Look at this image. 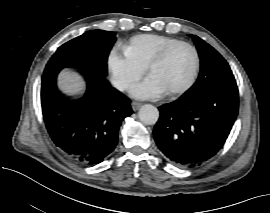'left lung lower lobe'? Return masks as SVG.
Returning <instances> with one entry per match:
<instances>
[{
  "label": "left lung lower lobe",
  "instance_id": "1",
  "mask_svg": "<svg viewBox=\"0 0 270 213\" xmlns=\"http://www.w3.org/2000/svg\"><path fill=\"white\" fill-rule=\"evenodd\" d=\"M239 108L235 80L194 97L182 96L159 107L154 139L167 159L179 167H194L224 145Z\"/></svg>",
  "mask_w": 270,
  "mask_h": 213
}]
</instances>
